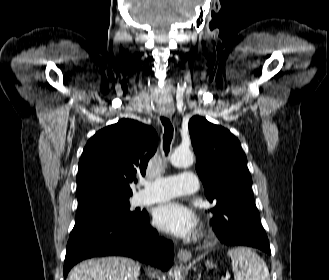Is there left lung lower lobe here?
I'll return each instance as SVG.
<instances>
[{
    "label": "left lung lower lobe",
    "mask_w": 329,
    "mask_h": 280,
    "mask_svg": "<svg viewBox=\"0 0 329 280\" xmlns=\"http://www.w3.org/2000/svg\"><path fill=\"white\" fill-rule=\"evenodd\" d=\"M218 238L227 245L251 246L271 254L268 238L252 199L240 203L232 215L226 218Z\"/></svg>",
    "instance_id": "1"
}]
</instances>
